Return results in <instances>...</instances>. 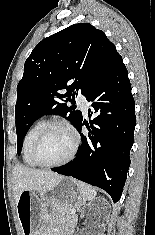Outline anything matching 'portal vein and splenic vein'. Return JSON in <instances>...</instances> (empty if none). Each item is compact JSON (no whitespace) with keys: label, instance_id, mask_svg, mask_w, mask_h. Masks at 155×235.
Here are the masks:
<instances>
[{"label":"portal vein and splenic vein","instance_id":"obj_1","mask_svg":"<svg viewBox=\"0 0 155 235\" xmlns=\"http://www.w3.org/2000/svg\"><path fill=\"white\" fill-rule=\"evenodd\" d=\"M76 211L74 209L71 210V213H75Z\"/></svg>","mask_w":155,"mask_h":235}]
</instances>
